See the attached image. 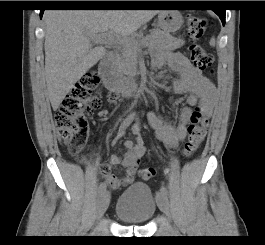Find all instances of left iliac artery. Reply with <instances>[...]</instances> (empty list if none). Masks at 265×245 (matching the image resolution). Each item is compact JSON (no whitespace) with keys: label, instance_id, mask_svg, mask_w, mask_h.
I'll list each match as a JSON object with an SVG mask.
<instances>
[{"label":"left iliac artery","instance_id":"obj_1","mask_svg":"<svg viewBox=\"0 0 265 245\" xmlns=\"http://www.w3.org/2000/svg\"><path fill=\"white\" fill-rule=\"evenodd\" d=\"M159 193L168 194V189L165 186H161L160 192L157 193V197L159 196Z\"/></svg>","mask_w":265,"mask_h":245}]
</instances>
